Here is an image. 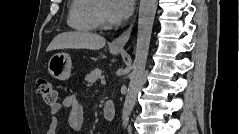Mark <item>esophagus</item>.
<instances>
[{"instance_id": "34e87169", "label": "esophagus", "mask_w": 239, "mask_h": 134, "mask_svg": "<svg viewBox=\"0 0 239 134\" xmlns=\"http://www.w3.org/2000/svg\"><path fill=\"white\" fill-rule=\"evenodd\" d=\"M133 29V23L116 39L111 42V47L116 49H123L128 42Z\"/></svg>"}]
</instances>
